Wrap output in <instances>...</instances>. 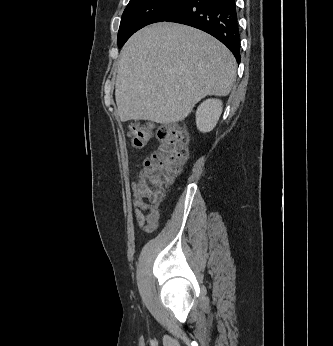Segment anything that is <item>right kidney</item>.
I'll return each instance as SVG.
<instances>
[{
    "mask_svg": "<svg viewBox=\"0 0 333 346\" xmlns=\"http://www.w3.org/2000/svg\"><path fill=\"white\" fill-rule=\"evenodd\" d=\"M222 113V102L208 99L201 103L196 111V125L201 132H210L216 126Z\"/></svg>",
    "mask_w": 333,
    "mask_h": 346,
    "instance_id": "obj_1",
    "label": "right kidney"
}]
</instances>
